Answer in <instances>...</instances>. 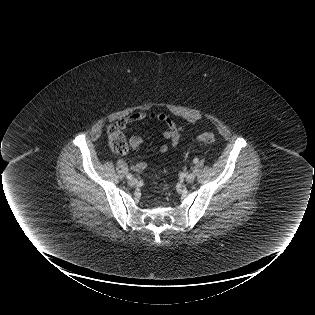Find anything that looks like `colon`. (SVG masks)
I'll use <instances>...</instances> for the list:
<instances>
[{"mask_svg": "<svg viewBox=\"0 0 315 315\" xmlns=\"http://www.w3.org/2000/svg\"><path fill=\"white\" fill-rule=\"evenodd\" d=\"M107 134L113 152L120 155L127 153L128 143L123 133V127L119 122L111 124L107 129ZM197 139L201 143L212 144L216 141V136L213 132H204Z\"/></svg>", "mask_w": 315, "mask_h": 315, "instance_id": "5ec220e1", "label": "colon"}]
</instances>
